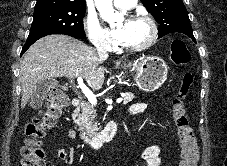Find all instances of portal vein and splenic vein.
<instances>
[{
    "label": "portal vein and splenic vein",
    "mask_w": 227,
    "mask_h": 166,
    "mask_svg": "<svg viewBox=\"0 0 227 166\" xmlns=\"http://www.w3.org/2000/svg\"><path fill=\"white\" fill-rule=\"evenodd\" d=\"M78 87L81 89L83 94L86 96L88 101L91 103V105L96 106L97 105V99L96 96L92 93V91L83 83V78L78 77L77 78ZM122 102V98L117 100V103Z\"/></svg>",
    "instance_id": "18ae733b"
}]
</instances>
